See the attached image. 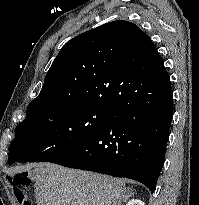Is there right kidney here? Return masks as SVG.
I'll use <instances>...</instances> for the list:
<instances>
[{"mask_svg":"<svg viewBox=\"0 0 199 205\" xmlns=\"http://www.w3.org/2000/svg\"><path fill=\"white\" fill-rule=\"evenodd\" d=\"M126 205H145V204L139 199H132Z\"/></svg>","mask_w":199,"mask_h":205,"instance_id":"right-kidney-1","label":"right kidney"}]
</instances>
